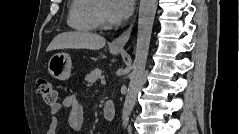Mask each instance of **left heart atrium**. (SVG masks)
Wrapping results in <instances>:
<instances>
[{
    "label": "left heart atrium",
    "instance_id": "39dd6f15",
    "mask_svg": "<svg viewBox=\"0 0 239 134\" xmlns=\"http://www.w3.org/2000/svg\"><path fill=\"white\" fill-rule=\"evenodd\" d=\"M132 10V0H112L107 6V16L111 23L120 24L131 15Z\"/></svg>",
    "mask_w": 239,
    "mask_h": 134
}]
</instances>
